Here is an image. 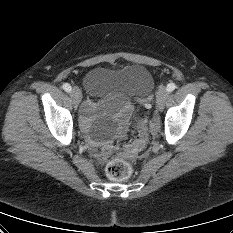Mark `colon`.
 Here are the masks:
<instances>
[{
    "instance_id": "obj_1",
    "label": "colon",
    "mask_w": 233,
    "mask_h": 233,
    "mask_svg": "<svg viewBox=\"0 0 233 233\" xmlns=\"http://www.w3.org/2000/svg\"><path fill=\"white\" fill-rule=\"evenodd\" d=\"M152 98L150 96L141 100V105L146 108L151 106ZM148 142V132L146 124L141 122L139 124L138 135L136 139L125 148V152L130 155H136L143 151ZM133 168L130 163L123 159H115L106 166L107 176L114 181H122L129 178L132 174Z\"/></svg>"
}]
</instances>
